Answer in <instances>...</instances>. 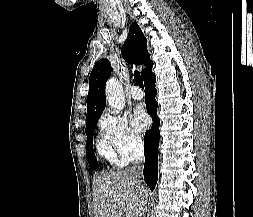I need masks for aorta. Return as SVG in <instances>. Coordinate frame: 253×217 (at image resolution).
Masks as SVG:
<instances>
[{"label":"aorta","instance_id":"1","mask_svg":"<svg viewBox=\"0 0 253 217\" xmlns=\"http://www.w3.org/2000/svg\"><path fill=\"white\" fill-rule=\"evenodd\" d=\"M105 93L108 104L114 107L116 112L123 110L125 107V96L123 87L118 79L113 77L107 81Z\"/></svg>","mask_w":253,"mask_h":217}]
</instances>
